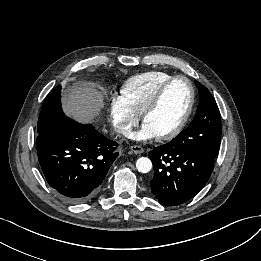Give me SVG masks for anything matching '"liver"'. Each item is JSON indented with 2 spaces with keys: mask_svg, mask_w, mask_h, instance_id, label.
Masks as SVG:
<instances>
[{
  "mask_svg": "<svg viewBox=\"0 0 261 261\" xmlns=\"http://www.w3.org/2000/svg\"><path fill=\"white\" fill-rule=\"evenodd\" d=\"M62 106L71 118L89 123L103 108L104 93L92 82H80L64 92Z\"/></svg>",
  "mask_w": 261,
  "mask_h": 261,
  "instance_id": "liver-1",
  "label": "liver"
}]
</instances>
